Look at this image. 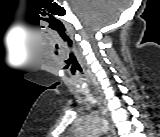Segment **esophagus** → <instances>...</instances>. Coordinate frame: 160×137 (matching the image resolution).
Listing matches in <instances>:
<instances>
[{
	"mask_svg": "<svg viewBox=\"0 0 160 137\" xmlns=\"http://www.w3.org/2000/svg\"><path fill=\"white\" fill-rule=\"evenodd\" d=\"M102 113H103L105 118H108L107 110H106V108L104 106H102ZM107 137H116L112 127L109 128V132H108V136Z\"/></svg>",
	"mask_w": 160,
	"mask_h": 137,
	"instance_id": "esophagus-1",
	"label": "esophagus"
}]
</instances>
